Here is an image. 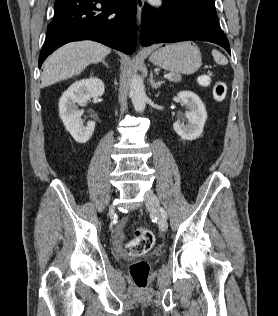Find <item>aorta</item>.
Returning <instances> with one entry per match:
<instances>
[{
  "label": "aorta",
  "mask_w": 278,
  "mask_h": 316,
  "mask_svg": "<svg viewBox=\"0 0 278 316\" xmlns=\"http://www.w3.org/2000/svg\"><path fill=\"white\" fill-rule=\"evenodd\" d=\"M130 98L134 109L137 112H143L146 107L147 95L142 78L139 75H134L130 83Z\"/></svg>",
  "instance_id": "obj_1"
}]
</instances>
